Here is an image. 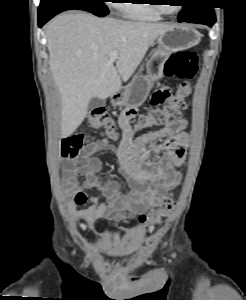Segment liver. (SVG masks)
I'll return each mask as SVG.
<instances>
[{
    "label": "liver",
    "instance_id": "6515ba94",
    "mask_svg": "<svg viewBox=\"0 0 246 300\" xmlns=\"http://www.w3.org/2000/svg\"><path fill=\"white\" fill-rule=\"evenodd\" d=\"M171 25L98 18L84 12L55 17L45 28L50 70L61 96V137L86 117L93 97L106 99L121 88L149 47ZM118 52L116 65L110 53Z\"/></svg>",
    "mask_w": 246,
    "mask_h": 300
}]
</instances>
